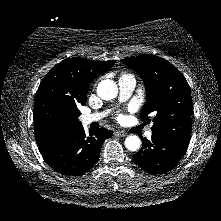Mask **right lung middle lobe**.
Returning <instances> with one entry per match:
<instances>
[{"label":"right lung middle lobe","instance_id":"1","mask_svg":"<svg viewBox=\"0 0 221 221\" xmlns=\"http://www.w3.org/2000/svg\"><path fill=\"white\" fill-rule=\"evenodd\" d=\"M80 111L76 105L47 98L41 101L37 110V120L45 130L55 131L64 125L79 122Z\"/></svg>","mask_w":221,"mask_h":221}]
</instances>
